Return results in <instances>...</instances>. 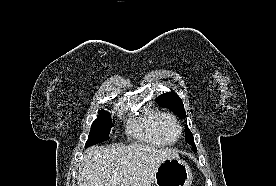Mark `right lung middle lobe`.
Returning <instances> with one entry per match:
<instances>
[{
	"instance_id": "obj_1",
	"label": "right lung middle lobe",
	"mask_w": 276,
	"mask_h": 186,
	"mask_svg": "<svg viewBox=\"0 0 276 186\" xmlns=\"http://www.w3.org/2000/svg\"><path fill=\"white\" fill-rule=\"evenodd\" d=\"M110 116L111 114L105 110L99 111L98 118L92 123L85 147H89L109 139L110 129L113 127Z\"/></svg>"
}]
</instances>
